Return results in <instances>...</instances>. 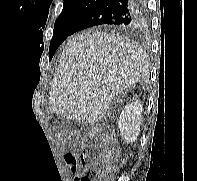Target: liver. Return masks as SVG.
Returning <instances> with one entry per match:
<instances>
[{
	"instance_id": "obj_1",
	"label": "liver",
	"mask_w": 197,
	"mask_h": 181,
	"mask_svg": "<svg viewBox=\"0 0 197 181\" xmlns=\"http://www.w3.org/2000/svg\"><path fill=\"white\" fill-rule=\"evenodd\" d=\"M149 78L148 55L135 43L107 32L85 31L63 49L49 110L92 125L109 113L123 89Z\"/></svg>"
}]
</instances>
